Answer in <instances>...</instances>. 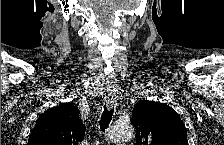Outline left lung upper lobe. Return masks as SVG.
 I'll return each instance as SVG.
<instances>
[{
	"label": "left lung upper lobe",
	"instance_id": "obj_1",
	"mask_svg": "<svg viewBox=\"0 0 224 145\" xmlns=\"http://www.w3.org/2000/svg\"><path fill=\"white\" fill-rule=\"evenodd\" d=\"M137 145H188L187 132L177 112L166 104L139 101L132 113Z\"/></svg>",
	"mask_w": 224,
	"mask_h": 145
}]
</instances>
